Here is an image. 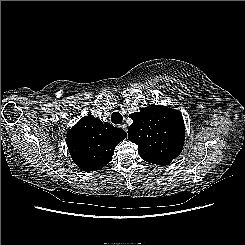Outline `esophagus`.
Listing matches in <instances>:
<instances>
[{"instance_id":"obj_1","label":"esophagus","mask_w":245,"mask_h":245,"mask_svg":"<svg viewBox=\"0 0 245 245\" xmlns=\"http://www.w3.org/2000/svg\"><path fill=\"white\" fill-rule=\"evenodd\" d=\"M119 127L122 128L124 131H127L126 124L122 123Z\"/></svg>"}]
</instances>
